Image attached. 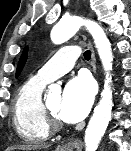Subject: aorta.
<instances>
[{
  "instance_id": "aorta-1",
  "label": "aorta",
  "mask_w": 131,
  "mask_h": 151,
  "mask_svg": "<svg viewBox=\"0 0 131 151\" xmlns=\"http://www.w3.org/2000/svg\"><path fill=\"white\" fill-rule=\"evenodd\" d=\"M81 26H85L94 39L102 66L106 72L104 89L101 99L94 109L93 115L85 131L86 151H96L107 129L112 114V77L113 54L111 44L103 29L94 21L72 16L62 19L51 32V39L55 44H61L76 34Z\"/></svg>"
}]
</instances>
